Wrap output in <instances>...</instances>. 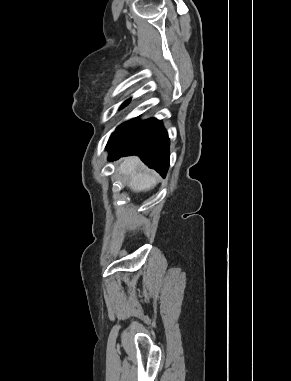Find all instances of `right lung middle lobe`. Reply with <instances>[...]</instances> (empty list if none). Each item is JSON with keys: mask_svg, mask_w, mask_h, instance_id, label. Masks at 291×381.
<instances>
[{"mask_svg": "<svg viewBox=\"0 0 291 381\" xmlns=\"http://www.w3.org/2000/svg\"><path fill=\"white\" fill-rule=\"evenodd\" d=\"M129 101H130V100H127L125 103H123L120 109H122L123 107H125V106L129 103ZM120 129H121V126H119V127L115 130V132L111 135V137H110V139H109V142H113V141H115V140H117V139L119 138L120 133H121Z\"/></svg>", "mask_w": 291, "mask_h": 381, "instance_id": "1", "label": "right lung middle lobe"}]
</instances>
